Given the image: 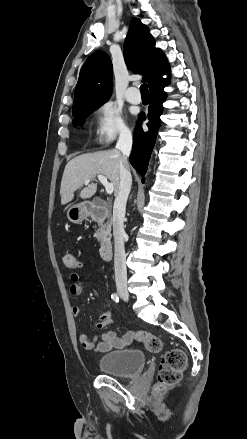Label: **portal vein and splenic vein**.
I'll list each match as a JSON object with an SVG mask.
<instances>
[{"mask_svg": "<svg viewBox=\"0 0 247 439\" xmlns=\"http://www.w3.org/2000/svg\"><path fill=\"white\" fill-rule=\"evenodd\" d=\"M97 178L105 187L106 192L108 194H112V192L114 191V184L109 183L107 178L104 175H98ZM89 182H90V179H86L84 183H85V185H88Z\"/></svg>", "mask_w": 247, "mask_h": 439, "instance_id": "1", "label": "portal vein and splenic vein"}]
</instances>
